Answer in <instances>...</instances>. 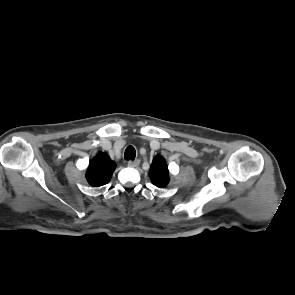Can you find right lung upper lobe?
Instances as JSON below:
<instances>
[{
  "label": "right lung upper lobe",
  "instance_id": "obj_1",
  "mask_svg": "<svg viewBox=\"0 0 295 295\" xmlns=\"http://www.w3.org/2000/svg\"><path fill=\"white\" fill-rule=\"evenodd\" d=\"M116 168L106 153L99 152L89 163L86 179L91 186L99 187L110 182Z\"/></svg>",
  "mask_w": 295,
  "mask_h": 295
}]
</instances>
